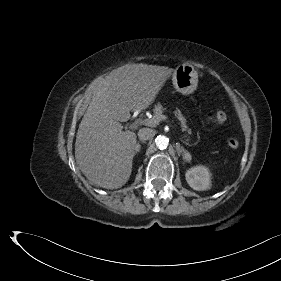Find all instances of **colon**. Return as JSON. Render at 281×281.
I'll return each mask as SVG.
<instances>
[{
	"label": "colon",
	"instance_id": "5ec220e1",
	"mask_svg": "<svg viewBox=\"0 0 281 281\" xmlns=\"http://www.w3.org/2000/svg\"><path fill=\"white\" fill-rule=\"evenodd\" d=\"M226 119H227L226 113L222 109L214 110L209 114V120L215 124H222L226 121ZM227 143L228 146L233 149L238 148L240 145V142L236 137L229 138Z\"/></svg>",
	"mask_w": 281,
	"mask_h": 281
}]
</instances>
